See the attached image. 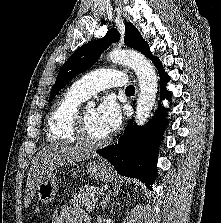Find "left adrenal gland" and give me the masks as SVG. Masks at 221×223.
<instances>
[{
  "label": "left adrenal gland",
  "instance_id": "left-adrenal-gland-1",
  "mask_svg": "<svg viewBox=\"0 0 221 223\" xmlns=\"http://www.w3.org/2000/svg\"><path fill=\"white\" fill-rule=\"evenodd\" d=\"M109 202H110V194L106 195L105 199H103L101 203L102 210H104V208L107 206V204H109Z\"/></svg>",
  "mask_w": 221,
  "mask_h": 223
}]
</instances>
